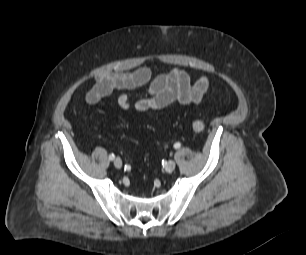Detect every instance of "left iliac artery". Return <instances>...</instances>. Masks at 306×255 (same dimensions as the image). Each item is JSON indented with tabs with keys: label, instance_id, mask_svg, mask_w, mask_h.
Masks as SVG:
<instances>
[{
	"label": "left iliac artery",
	"instance_id": "obj_1",
	"mask_svg": "<svg viewBox=\"0 0 306 255\" xmlns=\"http://www.w3.org/2000/svg\"><path fill=\"white\" fill-rule=\"evenodd\" d=\"M181 147V143L180 142H176L175 144H174V148L175 149H178V148H180Z\"/></svg>",
	"mask_w": 306,
	"mask_h": 255
}]
</instances>
